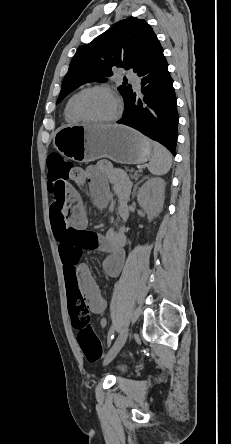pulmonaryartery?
<instances>
[{
    "label": "pulmonary artery",
    "instance_id": "1",
    "mask_svg": "<svg viewBox=\"0 0 231 444\" xmlns=\"http://www.w3.org/2000/svg\"><path fill=\"white\" fill-rule=\"evenodd\" d=\"M126 78L129 79L130 81H132L134 85H136V86L139 85V80H138L137 76H135L131 73H127Z\"/></svg>",
    "mask_w": 231,
    "mask_h": 444
}]
</instances>
